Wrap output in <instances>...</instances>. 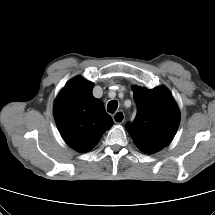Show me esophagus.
Instances as JSON below:
<instances>
[{"instance_id":"esophagus-1","label":"esophagus","mask_w":215,"mask_h":215,"mask_svg":"<svg viewBox=\"0 0 215 215\" xmlns=\"http://www.w3.org/2000/svg\"><path fill=\"white\" fill-rule=\"evenodd\" d=\"M112 118L116 124H121L125 120V114L123 111L119 110L112 116Z\"/></svg>"}]
</instances>
